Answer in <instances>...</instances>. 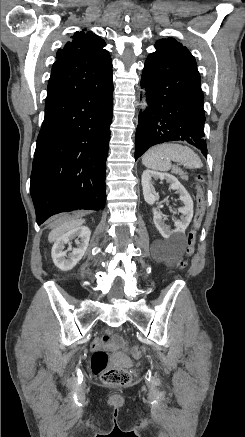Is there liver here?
Returning <instances> with one entry per match:
<instances>
[{
  "mask_svg": "<svg viewBox=\"0 0 245 437\" xmlns=\"http://www.w3.org/2000/svg\"><path fill=\"white\" fill-rule=\"evenodd\" d=\"M84 222H85L84 219H77V220H70V221H67V222L60 224L59 226L54 228L49 233V236H48L49 242H53V241L57 240L63 234H65L66 232H68L76 227L81 226Z\"/></svg>",
  "mask_w": 245,
  "mask_h": 437,
  "instance_id": "obj_1",
  "label": "liver"
}]
</instances>
